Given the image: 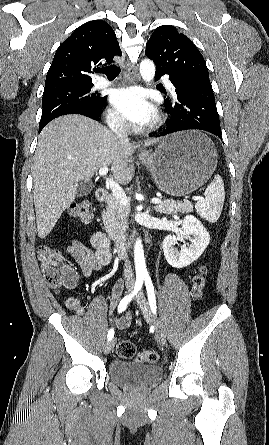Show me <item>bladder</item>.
<instances>
[{
    "label": "bladder",
    "instance_id": "1",
    "mask_svg": "<svg viewBox=\"0 0 269 445\" xmlns=\"http://www.w3.org/2000/svg\"><path fill=\"white\" fill-rule=\"evenodd\" d=\"M108 373L111 380L120 386L142 389L159 381L162 376V369L157 365H142L115 359L110 362Z\"/></svg>",
    "mask_w": 269,
    "mask_h": 445
}]
</instances>
